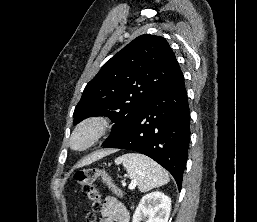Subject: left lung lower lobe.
<instances>
[{"mask_svg":"<svg viewBox=\"0 0 257 222\" xmlns=\"http://www.w3.org/2000/svg\"><path fill=\"white\" fill-rule=\"evenodd\" d=\"M189 124L187 91L179 69L103 148L133 150L149 156L172 174L180 190L188 157Z\"/></svg>","mask_w":257,"mask_h":222,"instance_id":"obj_1","label":"left lung lower lobe"}]
</instances>
